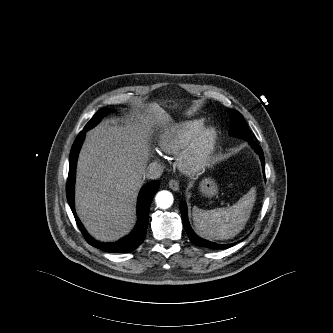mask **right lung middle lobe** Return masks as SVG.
<instances>
[{
    "instance_id": "obj_1",
    "label": "right lung middle lobe",
    "mask_w": 333,
    "mask_h": 333,
    "mask_svg": "<svg viewBox=\"0 0 333 333\" xmlns=\"http://www.w3.org/2000/svg\"><path fill=\"white\" fill-rule=\"evenodd\" d=\"M112 112V109H108V108H103L100 109L94 116L93 118L86 124L84 130H89L90 128L94 127L100 120L101 118L109 113Z\"/></svg>"
}]
</instances>
